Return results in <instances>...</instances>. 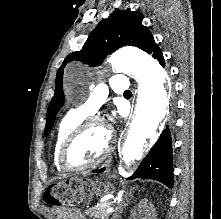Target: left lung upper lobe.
I'll list each match as a JSON object with an SVG mask.
<instances>
[{"instance_id":"obj_1","label":"left lung upper lobe","mask_w":221,"mask_h":219,"mask_svg":"<svg viewBox=\"0 0 221 219\" xmlns=\"http://www.w3.org/2000/svg\"><path fill=\"white\" fill-rule=\"evenodd\" d=\"M143 16L129 8L113 12L102 20L91 32L80 51L69 54L57 71L55 95L47 110L45 136L53 126L58 111L64 104L62 77L65 65L71 61H80L90 66H98L113 51L125 45L136 46L152 54L155 44L148 27L142 25Z\"/></svg>"}]
</instances>
